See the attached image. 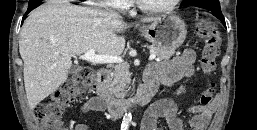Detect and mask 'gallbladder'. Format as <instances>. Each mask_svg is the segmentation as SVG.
I'll return each instance as SVG.
<instances>
[{"instance_id": "obj_1", "label": "gallbladder", "mask_w": 257, "mask_h": 130, "mask_svg": "<svg viewBox=\"0 0 257 130\" xmlns=\"http://www.w3.org/2000/svg\"><path fill=\"white\" fill-rule=\"evenodd\" d=\"M75 71H76V68H75V67H73V68H71V69L69 70L70 73H74Z\"/></svg>"}]
</instances>
